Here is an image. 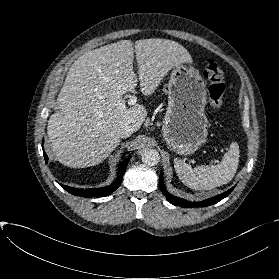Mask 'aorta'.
I'll use <instances>...</instances> for the list:
<instances>
[{
	"mask_svg": "<svg viewBox=\"0 0 279 279\" xmlns=\"http://www.w3.org/2000/svg\"><path fill=\"white\" fill-rule=\"evenodd\" d=\"M160 156L157 150L147 149L142 154V161L148 166H155L159 163Z\"/></svg>",
	"mask_w": 279,
	"mask_h": 279,
	"instance_id": "762f6f07",
	"label": "aorta"
}]
</instances>
